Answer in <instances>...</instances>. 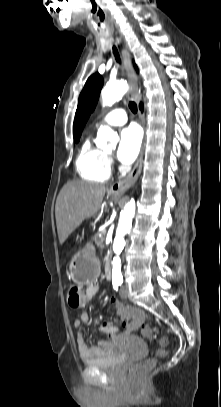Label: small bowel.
Wrapping results in <instances>:
<instances>
[{"label": "small bowel", "mask_w": 221, "mask_h": 407, "mask_svg": "<svg viewBox=\"0 0 221 407\" xmlns=\"http://www.w3.org/2000/svg\"><path fill=\"white\" fill-rule=\"evenodd\" d=\"M99 291V286L96 283H91L88 284L85 288V291L83 292L84 294V304L89 303L93 297L98 293ZM111 303L114 305L116 308L118 305H124L119 299L117 298H111L110 299ZM122 319V318H121ZM88 321V315L86 313H82L81 316L74 321V326L76 328H80L83 324H86ZM127 327V326H126ZM100 330L103 331L108 335V340L102 341L99 345L97 346H89L81 332L78 333L77 339H76V344H77V349L79 352L80 357L83 360H92L95 358L102 357L108 353H110L116 344L120 340L121 333L118 329V327L114 326L110 322H105L99 326ZM128 331H132L127 327Z\"/></svg>", "instance_id": "small-bowel-1"}]
</instances>
